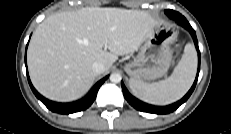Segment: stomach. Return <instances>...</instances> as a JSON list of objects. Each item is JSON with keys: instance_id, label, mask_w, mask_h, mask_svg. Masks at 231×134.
I'll return each instance as SVG.
<instances>
[{"instance_id": "1", "label": "stomach", "mask_w": 231, "mask_h": 134, "mask_svg": "<svg viewBox=\"0 0 231 134\" xmlns=\"http://www.w3.org/2000/svg\"><path fill=\"white\" fill-rule=\"evenodd\" d=\"M177 38L172 25L160 22L148 34L138 55L124 67L131 79L152 81L163 77L172 62L171 44Z\"/></svg>"}]
</instances>
